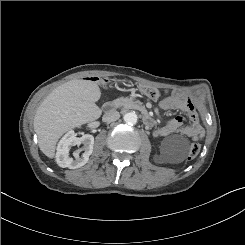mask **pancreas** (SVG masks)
<instances>
[{
	"instance_id": "pancreas-1",
	"label": "pancreas",
	"mask_w": 245,
	"mask_h": 245,
	"mask_svg": "<svg viewBox=\"0 0 245 245\" xmlns=\"http://www.w3.org/2000/svg\"><path fill=\"white\" fill-rule=\"evenodd\" d=\"M115 107H122L123 109H140L142 103L133 98H118L113 102Z\"/></svg>"
}]
</instances>
